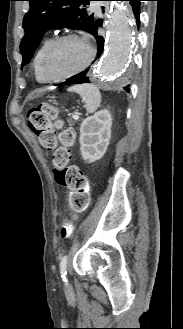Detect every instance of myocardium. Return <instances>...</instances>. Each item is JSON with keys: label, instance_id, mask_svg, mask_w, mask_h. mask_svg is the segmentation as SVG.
Returning <instances> with one entry per match:
<instances>
[{"label": "myocardium", "instance_id": "myocardium-1", "mask_svg": "<svg viewBox=\"0 0 183 329\" xmlns=\"http://www.w3.org/2000/svg\"><path fill=\"white\" fill-rule=\"evenodd\" d=\"M69 39H78V40L83 41L87 45V48L89 51L87 60L80 68H78L72 72H69V73H66V74L60 75V76H53L49 73V70L47 67L49 55L58 44H60L63 41L69 40ZM94 57H95V50H94L93 46L87 40H85L84 38H82L81 36L76 35V34H65V35H62V36H59V37L53 39L49 43V45L46 47V49L43 53V56H42V60H41V69H42L44 76L46 77V79L48 81H62V80L71 78V77L83 72L91 64Z\"/></svg>", "mask_w": 183, "mask_h": 329}]
</instances>
